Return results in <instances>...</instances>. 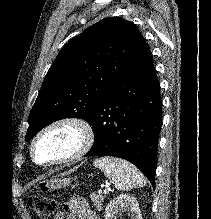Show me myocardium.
<instances>
[{
	"instance_id": "obj_1",
	"label": "myocardium",
	"mask_w": 211,
	"mask_h": 219,
	"mask_svg": "<svg viewBox=\"0 0 211 219\" xmlns=\"http://www.w3.org/2000/svg\"><path fill=\"white\" fill-rule=\"evenodd\" d=\"M60 127H71L79 133V142L75 150L67 155L66 157L51 161V162H39L35 157V146L38 141L47 132L60 128ZM95 140V132L92 125L84 118L78 116H63L56 118L43 127L32 138L29 145V154L31 160L38 166L41 167H56L74 163L85 156L92 148Z\"/></svg>"
}]
</instances>
